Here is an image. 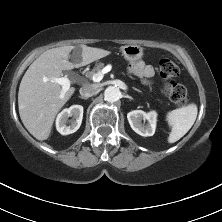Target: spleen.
<instances>
[{
	"mask_svg": "<svg viewBox=\"0 0 222 222\" xmlns=\"http://www.w3.org/2000/svg\"><path fill=\"white\" fill-rule=\"evenodd\" d=\"M197 113L198 109L194 103L167 113L166 120L169 126H171V132L168 137L169 143L178 141L191 129L196 120Z\"/></svg>",
	"mask_w": 222,
	"mask_h": 222,
	"instance_id": "1",
	"label": "spleen"
}]
</instances>
